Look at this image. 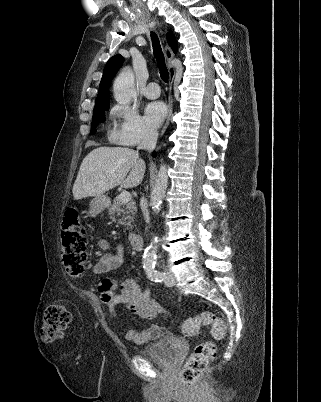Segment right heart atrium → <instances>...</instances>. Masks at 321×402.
Listing matches in <instances>:
<instances>
[{
	"mask_svg": "<svg viewBox=\"0 0 321 402\" xmlns=\"http://www.w3.org/2000/svg\"><path fill=\"white\" fill-rule=\"evenodd\" d=\"M113 122L111 139L125 146H139L151 143L156 132L141 117L138 111L128 105L116 104L110 110Z\"/></svg>",
	"mask_w": 321,
	"mask_h": 402,
	"instance_id": "d8ad5b80",
	"label": "right heart atrium"
}]
</instances>
